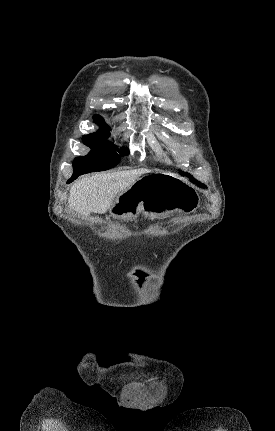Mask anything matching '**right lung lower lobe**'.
<instances>
[{"instance_id":"obj_1","label":"right lung lower lobe","mask_w":275,"mask_h":431,"mask_svg":"<svg viewBox=\"0 0 275 431\" xmlns=\"http://www.w3.org/2000/svg\"><path fill=\"white\" fill-rule=\"evenodd\" d=\"M74 179H76V178L71 177V178L68 180V182H67V183L72 182Z\"/></svg>"}]
</instances>
